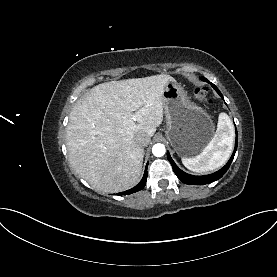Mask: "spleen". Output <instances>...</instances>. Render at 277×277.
Wrapping results in <instances>:
<instances>
[{
  "label": "spleen",
  "instance_id": "3e777b00",
  "mask_svg": "<svg viewBox=\"0 0 277 277\" xmlns=\"http://www.w3.org/2000/svg\"><path fill=\"white\" fill-rule=\"evenodd\" d=\"M234 143V127L226 113H220L217 130L203 151L193 158H182L183 165L198 173L213 171L229 159Z\"/></svg>",
  "mask_w": 277,
  "mask_h": 277
}]
</instances>
